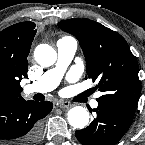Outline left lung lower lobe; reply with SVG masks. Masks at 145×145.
I'll return each instance as SVG.
<instances>
[{
	"mask_svg": "<svg viewBox=\"0 0 145 145\" xmlns=\"http://www.w3.org/2000/svg\"><path fill=\"white\" fill-rule=\"evenodd\" d=\"M96 118L85 129L75 132L83 145H115L129 129L133 117L114 108L98 105Z\"/></svg>",
	"mask_w": 145,
	"mask_h": 145,
	"instance_id": "left-lung-lower-lobe-1",
	"label": "left lung lower lobe"
}]
</instances>
